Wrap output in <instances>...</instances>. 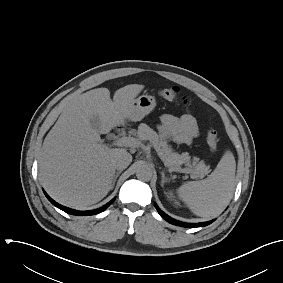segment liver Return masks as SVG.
Masks as SVG:
<instances>
[{
  "label": "liver",
  "instance_id": "liver-1",
  "mask_svg": "<svg viewBox=\"0 0 283 283\" xmlns=\"http://www.w3.org/2000/svg\"><path fill=\"white\" fill-rule=\"evenodd\" d=\"M143 89L144 85H127L115 92L112 101L107 88H97L67 103L44 139L39 160L40 178L54 200L82 208L108 194L115 175L114 158L126 150L103 145L100 134L124 123L128 105ZM95 117L99 130L90 123Z\"/></svg>",
  "mask_w": 283,
  "mask_h": 283
}]
</instances>
